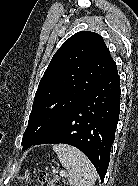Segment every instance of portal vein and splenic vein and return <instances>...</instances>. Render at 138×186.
<instances>
[{"mask_svg":"<svg viewBox=\"0 0 138 186\" xmlns=\"http://www.w3.org/2000/svg\"><path fill=\"white\" fill-rule=\"evenodd\" d=\"M60 176H65L66 175V172L65 171H60Z\"/></svg>","mask_w":138,"mask_h":186,"instance_id":"18ae733b","label":"portal vein and splenic vein"}]
</instances>
